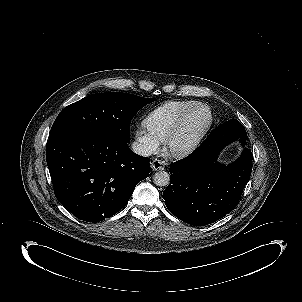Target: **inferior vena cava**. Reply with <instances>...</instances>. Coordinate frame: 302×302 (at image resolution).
<instances>
[{
  "instance_id": "1",
  "label": "inferior vena cava",
  "mask_w": 302,
  "mask_h": 302,
  "mask_svg": "<svg viewBox=\"0 0 302 302\" xmlns=\"http://www.w3.org/2000/svg\"><path fill=\"white\" fill-rule=\"evenodd\" d=\"M131 147H132V151L138 155L148 157L152 154V150L144 144L133 142Z\"/></svg>"
}]
</instances>
